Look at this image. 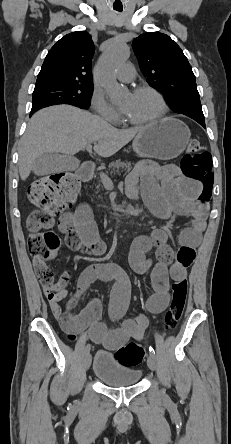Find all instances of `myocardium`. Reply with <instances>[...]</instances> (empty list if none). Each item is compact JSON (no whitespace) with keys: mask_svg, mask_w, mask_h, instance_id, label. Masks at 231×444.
<instances>
[{"mask_svg":"<svg viewBox=\"0 0 231 444\" xmlns=\"http://www.w3.org/2000/svg\"><path fill=\"white\" fill-rule=\"evenodd\" d=\"M143 92H149L157 97V99L159 100L160 105H161V111L157 116L147 119V120H143V121H136V120H133V119L127 117L126 115H124L125 121L128 122L129 124L138 125V126L154 124V123L161 121L168 113V109H169L168 103H167L164 95L159 90H157L156 88H154L152 86L144 85V86L136 87L132 91L133 94H138V93H143Z\"/></svg>","mask_w":231,"mask_h":444,"instance_id":"obj_1","label":"myocardium"}]
</instances>
